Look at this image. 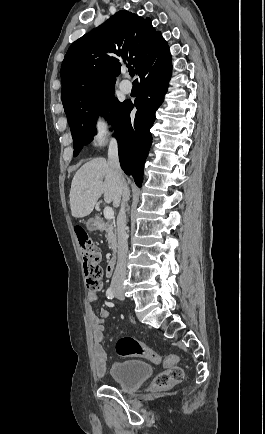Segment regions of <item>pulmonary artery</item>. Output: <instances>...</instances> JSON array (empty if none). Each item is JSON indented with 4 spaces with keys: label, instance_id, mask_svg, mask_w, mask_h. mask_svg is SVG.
I'll return each instance as SVG.
<instances>
[{
    "label": "pulmonary artery",
    "instance_id": "pulmonary-artery-1",
    "mask_svg": "<svg viewBox=\"0 0 265 434\" xmlns=\"http://www.w3.org/2000/svg\"><path fill=\"white\" fill-rule=\"evenodd\" d=\"M130 83L125 81L123 83L120 84V90L124 93V94H129L131 91V87H130Z\"/></svg>",
    "mask_w": 265,
    "mask_h": 434
}]
</instances>
